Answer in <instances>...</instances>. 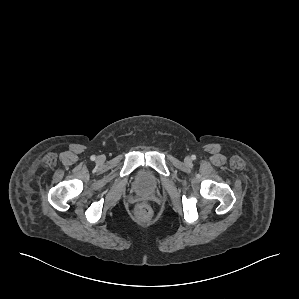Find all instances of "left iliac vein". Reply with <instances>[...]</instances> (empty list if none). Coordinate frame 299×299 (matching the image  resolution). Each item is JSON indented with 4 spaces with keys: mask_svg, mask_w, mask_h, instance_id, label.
<instances>
[{
    "mask_svg": "<svg viewBox=\"0 0 299 299\" xmlns=\"http://www.w3.org/2000/svg\"><path fill=\"white\" fill-rule=\"evenodd\" d=\"M185 163H186V164H190V163H191V159H190L189 157H186V158H185Z\"/></svg>",
    "mask_w": 299,
    "mask_h": 299,
    "instance_id": "1",
    "label": "left iliac vein"
}]
</instances>
